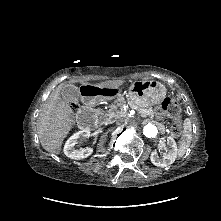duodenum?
<instances>
[{"label":"duodenum","instance_id":"obj_1","mask_svg":"<svg viewBox=\"0 0 221 221\" xmlns=\"http://www.w3.org/2000/svg\"><path fill=\"white\" fill-rule=\"evenodd\" d=\"M120 93L118 87H99L84 86L80 90V97L85 101L88 107L93 106L97 102H106L113 100ZM96 121V115L88 109L83 110L78 116V123L81 129L87 130Z\"/></svg>","mask_w":221,"mask_h":221}]
</instances>
